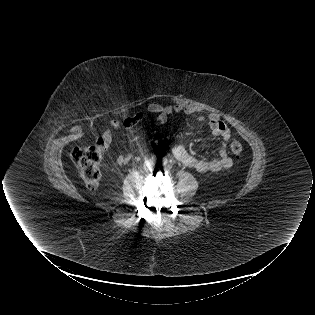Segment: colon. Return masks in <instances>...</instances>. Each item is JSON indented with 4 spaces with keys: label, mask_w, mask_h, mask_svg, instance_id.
Here are the masks:
<instances>
[{
    "label": "colon",
    "mask_w": 315,
    "mask_h": 315,
    "mask_svg": "<svg viewBox=\"0 0 315 315\" xmlns=\"http://www.w3.org/2000/svg\"><path fill=\"white\" fill-rule=\"evenodd\" d=\"M230 149L235 156H240L243 152V146L237 140L231 141ZM105 151V142L102 137L73 150V161L80 177L89 188H95L99 184L101 179V159Z\"/></svg>",
    "instance_id": "5ec220e1"
}]
</instances>
